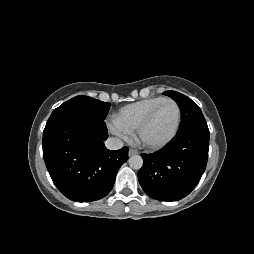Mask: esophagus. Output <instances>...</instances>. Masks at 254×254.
<instances>
[{"mask_svg":"<svg viewBox=\"0 0 254 254\" xmlns=\"http://www.w3.org/2000/svg\"><path fill=\"white\" fill-rule=\"evenodd\" d=\"M128 154H129V156L136 155V154H138V151L135 149H129Z\"/></svg>","mask_w":254,"mask_h":254,"instance_id":"34e87169","label":"esophagus"}]
</instances>
